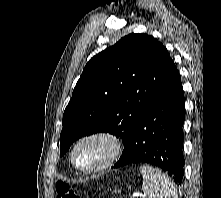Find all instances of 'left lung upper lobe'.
Returning a JSON list of instances; mask_svg holds the SVG:
<instances>
[{
  "mask_svg": "<svg viewBox=\"0 0 221 198\" xmlns=\"http://www.w3.org/2000/svg\"><path fill=\"white\" fill-rule=\"evenodd\" d=\"M174 63L154 37L129 34L86 64L63 114L60 156L77 139L97 132L125 145Z\"/></svg>",
  "mask_w": 221,
  "mask_h": 198,
  "instance_id": "1",
  "label": "left lung upper lobe"
}]
</instances>
